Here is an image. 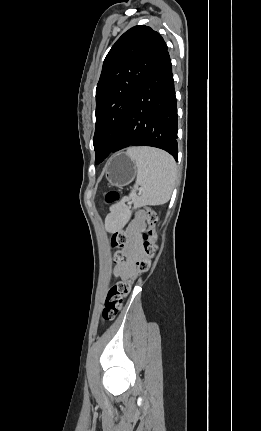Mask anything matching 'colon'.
<instances>
[{
	"label": "colon",
	"mask_w": 261,
	"mask_h": 431,
	"mask_svg": "<svg viewBox=\"0 0 261 431\" xmlns=\"http://www.w3.org/2000/svg\"><path fill=\"white\" fill-rule=\"evenodd\" d=\"M119 198V194L115 191H111L106 196L108 203H113ZM143 215L146 219L147 226L142 230V246L140 256L135 262V271L132 275L124 278L107 291L104 306L102 310V316L104 320H112L120 311L124 298L129 294L132 284L135 279L145 272H147L152 262L158 255V246L156 244V223L157 214L154 210L149 207L143 209ZM127 236L123 231L115 232L111 237V246L115 249H120L125 246ZM123 254L117 250L114 254V261L116 263L121 262Z\"/></svg>",
	"instance_id": "1"
}]
</instances>
